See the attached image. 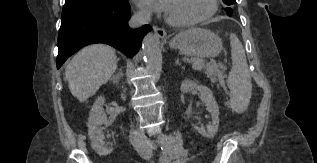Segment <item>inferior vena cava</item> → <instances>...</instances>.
Segmentation results:
<instances>
[{"mask_svg":"<svg viewBox=\"0 0 317 163\" xmlns=\"http://www.w3.org/2000/svg\"><path fill=\"white\" fill-rule=\"evenodd\" d=\"M150 21V14L146 12L135 13L129 21L132 28H138ZM130 142L141 157L148 159L152 156L153 145L150 140L139 131L130 132Z\"/></svg>","mask_w":317,"mask_h":163,"instance_id":"inferior-vena-cava-1","label":"inferior vena cava"}]
</instances>
